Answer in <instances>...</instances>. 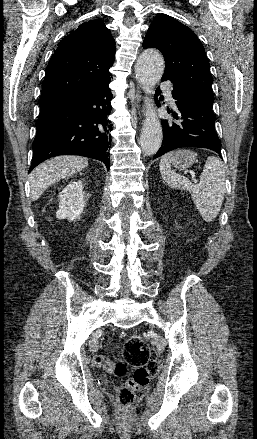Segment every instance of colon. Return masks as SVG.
Returning a JSON list of instances; mask_svg holds the SVG:
<instances>
[{"mask_svg":"<svg viewBox=\"0 0 257 439\" xmlns=\"http://www.w3.org/2000/svg\"><path fill=\"white\" fill-rule=\"evenodd\" d=\"M95 365H103L101 356L93 358ZM129 367H134V373L124 385L116 390L117 403L124 408H130L135 403V392L147 386L157 375V356L149 346L138 336L131 335L125 342L122 355L109 365L116 376H123Z\"/></svg>","mask_w":257,"mask_h":439,"instance_id":"1","label":"colon"}]
</instances>
